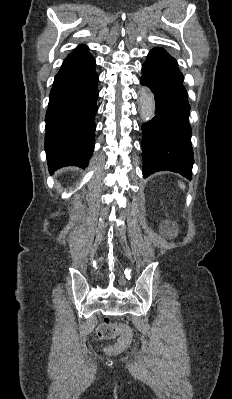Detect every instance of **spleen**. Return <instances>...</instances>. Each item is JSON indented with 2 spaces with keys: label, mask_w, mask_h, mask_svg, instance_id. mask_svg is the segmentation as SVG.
<instances>
[{
  "label": "spleen",
  "mask_w": 232,
  "mask_h": 399,
  "mask_svg": "<svg viewBox=\"0 0 232 399\" xmlns=\"http://www.w3.org/2000/svg\"><path fill=\"white\" fill-rule=\"evenodd\" d=\"M178 186L179 188H181V190H185L186 186L185 184H183V182H178Z\"/></svg>",
  "instance_id": "1"
}]
</instances>
